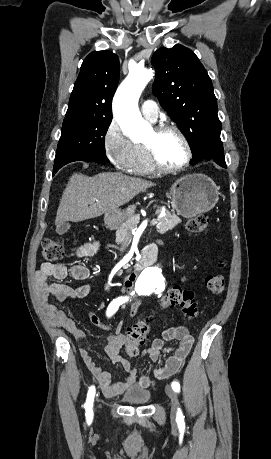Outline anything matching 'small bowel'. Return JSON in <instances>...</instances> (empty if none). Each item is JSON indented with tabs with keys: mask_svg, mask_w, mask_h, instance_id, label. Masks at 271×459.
<instances>
[{
	"mask_svg": "<svg viewBox=\"0 0 271 459\" xmlns=\"http://www.w3.org/2000/svg\"><path fill=\"white\" fill-rule=\"evenodd\" d=\"M102 249L99 241L86 242L79 245L74 254L76 257H91L97 255ZM146 265L153 263L150 255H145ZM90 276V271L83 265H73L66 267L62 264L44 263L36 272L35 284L43 312L47 320L55 327L68 331L76 341L82 342L86 339L84 331L79 329L75 322L68 318L55 305L50 304L48 299L54 296L58 301H74L86 297L91 291L90 284L78 287H70L61 282L50 283L49 279L62 281L68 277L75 280H86ZM131 278L127 279L126 284H130ZM140 301L135 300L131 315H136ZM90 321L104 331H115L108 338L105 351L109 359L116 364H120L126 372V377L119 382L113 383L110 373L103 371L94 361L90 353L85 348H80V356L89 369L93 377L98 381L104 395L108 398L115 397L130 388H149L156 380H161L175 374L189 355L194 343V338L189 330L184 326L170 327L163 331L161 337L153 340L151 346L143 351V356L151 361H157L162 353L172 354L166 362L155 369L150 374H139L135 366L124 359L121 348L125 343L124 334L120 333L114 326L104 323L95 313H89ZM177 341L174 347H167L166 342Z\"/></svg>",
	"mask_w": 271,
	"mask_h": 459,
	"instance_id": "small-bowel-1",
	"label": "small bowel"
}]
</instances>
